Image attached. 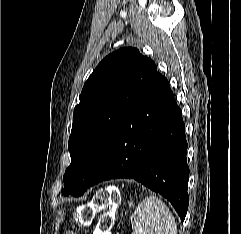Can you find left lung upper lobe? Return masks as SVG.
I'll use <instances>...</instances> for the list:
<instances>
[{
    "mask_svg": "<svg viewBox=\"0 0 241 234\" xmlns=\"http://www.w3.org/2000/svg\"><path fill=\"white\" fill-rule=\"evenodd\" d=\"M156 72L151 59L128 47L106 56L89 76L74 108L64 195L84 194L123 121Z\"/></svg>",
    "mask_w": 241,
    "mask_h": 234,
    "instance_id": "5c2ea615",
    "label": "left lung upper lobe"
}]
</instances>
